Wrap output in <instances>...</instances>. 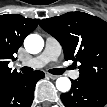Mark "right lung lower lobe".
Listing matches in <instances>:
<instances>
[{
  "instance_id": "right-lung-lower-lobe-1",
  "label": "right lung lower lobe",
  "mask_w": 107,
  "mask_h": 107,
  "mask_svg": "<svg viewBox=\"0 0 107 107\" xmlns=\"http://www.w3.org/2000/svg\"><path fill=\"white\" fill-rule=\"evenodd\" d=\"M44 77L41 71L12 74L0 79L1 107H30L36 82Z\"/></svg>"
}]
</instances>
